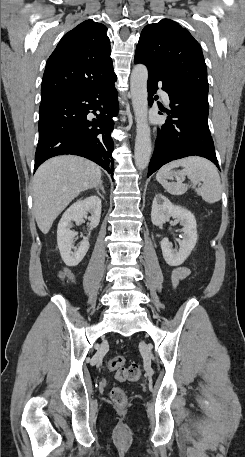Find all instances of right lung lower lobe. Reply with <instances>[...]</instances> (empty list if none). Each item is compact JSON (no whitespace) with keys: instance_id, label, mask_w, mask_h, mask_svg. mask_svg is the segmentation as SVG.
Returning a JSON list of instances; mask_svg holds the SVG:
<instances>
[{"instance_id":"98d812e1","label":"right lung lower lobe","mask_w":245,"mask_h":457,"mask_svg":"<svg viewBox=\"0 0 245 457\" xmlns=\"http://www.w3.org/2000/svg\"><path fill=\"white\" fill-rule=\"evenodd\" d=\"M115 81L116 76L41 102L34 171L53 156L72 154L96 162L113 177L112 118L118 112ZM91 112L96 119L87 118Z\"/></svg>"}]
</instances>
